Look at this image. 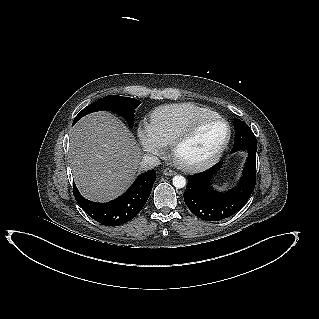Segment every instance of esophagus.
<instances>
[{
  "label": "esophagus",
  "instance_id": "esophagus-1",
  "mask_svg": "<svg viewBox=\"0 0 319 319\" xmlns=\"http://www.w3.org/2000/svg\"><path fill=\"white\" fill-rule=\"evenodd\" d=\"M163 174L166 176H173L176 174V172L172 169L166 168L163 170Z\"/></svg>",
  "mask_w": 319,
  "mask_h": 319
}]
</instances>
